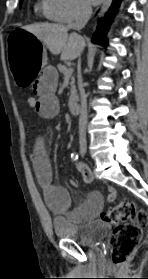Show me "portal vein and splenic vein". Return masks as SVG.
I'll return each instance as SVG.
<instances>
[{
  "label": "portal vein and splenic vein",
  "mask_w": 148,
  "mask_h": 279,
  "mask_svg": "<svg viewBox=\"0 0 148 279\" xmlns=\"http://www.w3.org/2000/svg\"><path fill=\"white\" fill-rule=\"evenodd\" d=\"M73 70L69 69L65 72V77H70V75L72 74Z\"/></svg>",
  "instance_id": "portal-vein-and-splenic-vein-1"
}]
</instances>
